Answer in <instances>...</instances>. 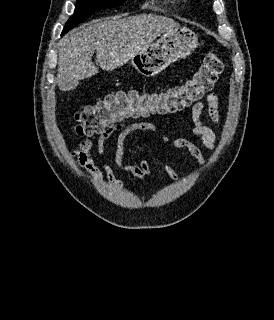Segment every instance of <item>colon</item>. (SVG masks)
<instances>
[{
  "instance_id": "5ec220e1",
  "label": "colon",
  "mask_w": 274,
  "mask_h": 320,
  "mask_svg": "<svg viewBox=\"0 0 274 320\" xmlns=\"http://www.w3.org/2000/svg\"><path fill=\"white\" fill-rule=\"evenodd\" d=\"M222 70L219 53L210 51L193 76L182 84L159 91L119 90L98 102L85 105L74 114L77 122L75 131L81 136H94L106 132V128L118 126L127 118L182 110L201 100L211 90Z\"/></svg>"
}]
</instances>
